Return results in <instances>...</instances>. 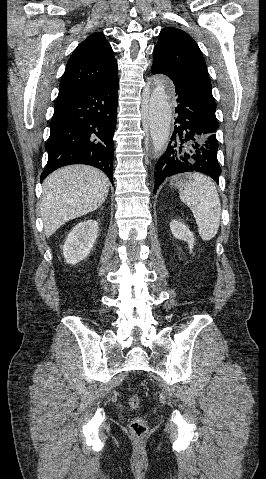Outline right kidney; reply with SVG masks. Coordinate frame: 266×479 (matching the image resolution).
Segmentation results:
<instances>
[{
  "instance_id": "ca27d5eb",
  "label": "right kidney",
  "mask_w": 266,
  "mask_h": 479,
  "mask_svg": "<svg viewBox=\"0 0 266 479\" xmlns=\"http://www.w3.org/2000/svg\"><path fill=\"white\" fill-rule=\"evenodd\" d=\"M98 234V222L85 220L69 233L63 246V255L68 264H77L91 252Z\"/></svg>"
}]
</instances>
